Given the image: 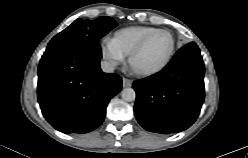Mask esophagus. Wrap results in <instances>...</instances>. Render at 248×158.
Instances as JSON below:
<instances>
[{"label":"esophagus","instance_id":"1","mask_svg":"<svg viewBox=\"0 0 248 158\" xmlns=\"http://www.w3.org/2000/svg\"><path fill=\"white\" fill-rule=\"evenodd\" d=\"M133 81L131 79L128 78H123L122 79V85L124 88L130 87L132 85Z\"/></svg>","mask_w":248,"mask_h":158}]
</instances>
